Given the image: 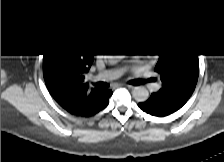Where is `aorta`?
<instances>
[{
	"mask_svg": "<svg viewBox=\"0 0 224 162\" xmlns=\"http://www.w3.org/2000/svg\"><path fill=\"white\" fill-rule=\"evenodd\" d=\"M121 56H107L112 62H116ZM133 98L137 102H145L149 98V91L142 86L135 87L132 92Z\"/></svg>",
	"mask_w": 224,
	"mask_h": 162,
	"instance_id": "obj_1",
	"label": "aorta"
}]
</instances>
